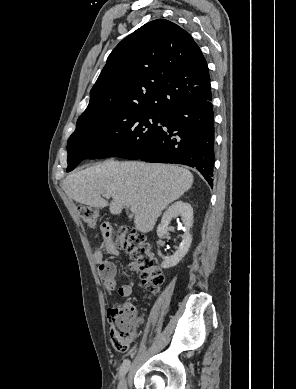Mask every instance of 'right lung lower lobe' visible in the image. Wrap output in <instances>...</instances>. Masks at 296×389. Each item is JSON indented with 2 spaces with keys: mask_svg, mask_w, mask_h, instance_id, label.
<instances>
[{
  "mask_svg": "<svg viewBox=\"0 0 296 389\" xmlns=\"http://www.w3.org/2000/svg\"><path fill=\"white\" fill-rule=\"evenodd\" d=\"M211 101L212 95L168 113L163 127L137 153V159L194 167L213 186L215 134Z\"/></svg>",
  "mask_w": 296,
  "mask_h": 389,
  "instance_id": "right-lung-lower-lobe-1",
  "label": "right lung lower lobe"
}]
</instances>
